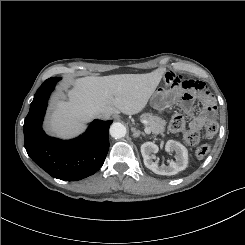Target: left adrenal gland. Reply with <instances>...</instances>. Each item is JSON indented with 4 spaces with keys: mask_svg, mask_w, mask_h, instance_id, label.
Here are the masks:
<instances>
[{
    "mask_svg": "<svg viewBox=\"0 0 245 245\" xmlns=\"http://www.w3.org/2000/svg\"><path fill=\"white\" fill-rule=\"evenodd\" d=\"M131 131L133 132V137L134 138H137L140 135H143V136L146 135L144 132H141V131L137 130L136 128H131Z\"/></svg>",
    "mask_w": 245,
    "mask_h": 245,
    "instance_id": "obj_1",
    "label": "left adrenal gland"
}]
</instances>
